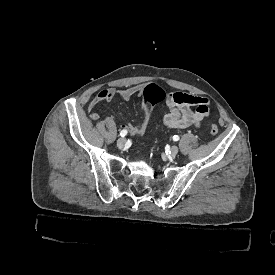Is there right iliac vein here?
<instances>
[{
  "instance_id": "right-iliac-vein-1",
  "label": "right iliac vein",
  "mask_w": 275,
  "mask_h": 275,
  "mask_svg": "<svg viewBox=\"0 0 275 275\" xmlns=\"http://www.w3.org/2000/svg\"><path fill=\"white\" fill-rule=\"evenodd\" d=\"M117 147L119 148V149H122L125 145H126V139L125 138H119L118 140H117Z\"/></svg>"
}]
</instances>
